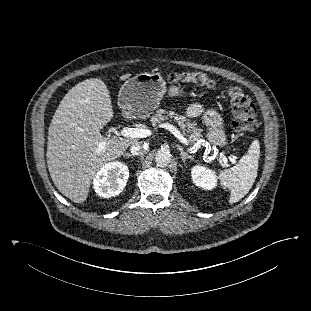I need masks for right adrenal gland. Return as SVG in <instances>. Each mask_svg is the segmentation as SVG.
<instances>
[{
  "label": "right adrenal gland",
  "instance_id": "1",
  "mask_svg": "<svg viewBox=\"0 0 311 311\" xmlns=\"http://www.w3.org/2000/svg\"><path fill=\"white\" fill-rule=\"evenodd\" d=\"M124 157H131V158H133V157H135V155L134 154H129V153H125L124 155H123Z\"/></svg>",
  "mask_w": 311,
  "mask_h": 311
}]
</instances>
